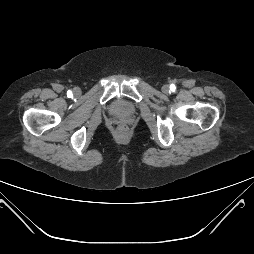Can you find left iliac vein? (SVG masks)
Wrapping results in <instances>:
<instances>
[{
  "label": "left iliac vein",
  "instance_id": "1",
  "mask_svg": "<svg viewBox=\"0 0 254 254\" xmlns=\"http://www.w3.org/2000/svg\"><path fill=\"white\" fill-rule=\"evenodd\" d=\"M162 91H163L164 93H168V92L170 91L169 86H168V85H164V86L162 87Z\"/></svg>",
  "mask_w": 254,
  "mask_h": 254
}]
</instances>
